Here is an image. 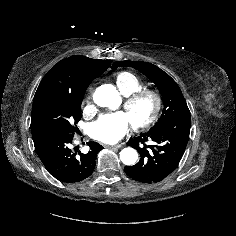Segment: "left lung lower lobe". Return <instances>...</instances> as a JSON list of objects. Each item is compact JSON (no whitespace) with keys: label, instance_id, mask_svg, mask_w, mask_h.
Listing matches in <instances>:
<instances>
[{"label":"left lung lower lobe","instance_id":"1","mask_svg":"<svg viewBox=\"0 0 236 236\" xmlns=\"http://www.w3.org/2000/svg\"><path fill=\"white\" fill-rule=\"evenodd\" d=\"M191 118L171 120L158 130L141 134L128 141L140 154L134 166H125V173L142 183H157L170 175L178 166L188 143ZM151 141L150 145L146 142Z\"/></svg>","mask_w":236,"mask_h":236}]
</instances>
